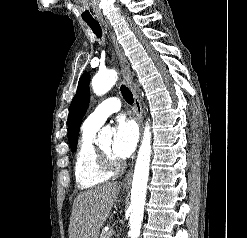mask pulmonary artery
I'll return each instance as SVG.
<instances>
[{
	"mask_svg": "<svg viewBox=\"0 0 247 238\" xmlns=\"http://www.w3.org/2000/svg\"><path fill=\"white\" fill-rule=\"evenodd\" d=\"M120 109V99L110 97L101 102L93 112L88 115L83 125L91 128H100L111 114L118 112Z\"/></svg>",
	"mask_w": 247,
	"mask_h": 238,
	"instance_id": "e3ab8cb5",
	"label": "pulmonary artery"
}]
</instances>
